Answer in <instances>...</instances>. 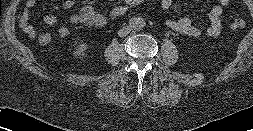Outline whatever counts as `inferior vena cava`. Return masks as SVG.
Here are the masks:
<instances>
[{"label":"inferior vena cava","instance_id":"602c4592","mask_svg":"<svg viewBox=\"0 0 253 131\" xmlns=\"http://www.w3.org/2000/svg\"><path fill=\"white\" fill-rule=\"evenodd\" d=\"M130 27L129 26H126V27H123L122 29H120L118 31V35L119 37H124L126 35H128L130 33Z\"/></svg>","mask_w":253,"mask_h":131}]
</instances>
